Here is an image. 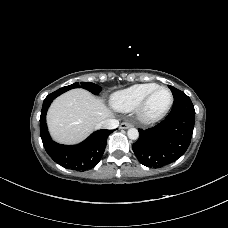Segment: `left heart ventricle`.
Listing matches in <instances>:
<instances>
[{
  "label": "left heart ventricle",
  "instance_id": "1",
  "mask_svg": "<svg viewBox=\"0 0 228 228\" xmlns=\"http://www.w3.org/2000/svg\"><path fill=\"white\" fill-rule=\"evenodd\" d=\"M170 102V94L167 90L160 89L154 93L146 107L148 116H156L163 112Z\"/></svg>",
  "mask_w": 228,
  "mask_h": 228
}]
</instances>
